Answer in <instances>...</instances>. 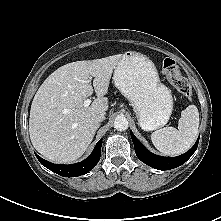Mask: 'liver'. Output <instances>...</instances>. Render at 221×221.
<instances>
[{
	"label": "liver",
	"instance_id": "obj_1",
	"mask_svg": "<svg viewBox=\"0 0 221 221\" xmlns=\"http://www.w3.org/2000/svg\"><path fill=\"white\" fill-rule=\"evenodd\" d=\"M121 58L118 54L68 63L45 79L34 96L29 118L32 145L44 158L69 163L85 153L100 126L96 116L109 108L104 95ZM93 91L97 98L84 107Z\"/></svg>",
	"mask_w": 221,
	"mask_h": 221
}]
</instances>
